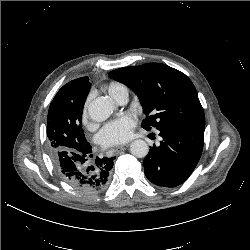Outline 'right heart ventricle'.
<instances>
[{"mask_svg": "<svg viewBox=\"0 0 250 250\" xmlns=\"http://www.w3.org/2000/svg\"><path fill=\"white\" fill-rule=\"evenodd\" d=\"M104 90L109 94L110 97H112L115 101L124 93L128 94L127 87L117 81L110 82L104 87Z\"/></svg>", "mask_w": 250, "mask_h": 250, "instance_id": "e07e8e85", "label": "right heart ventricle"}]
</instances>
